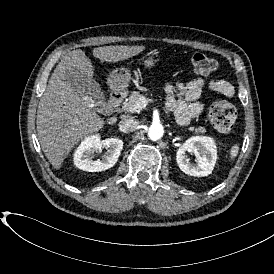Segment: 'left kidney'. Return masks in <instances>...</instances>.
<instances>
[{
	"instance_id": "1",
	"label": "left kidney",
	"mask_w": 274,
	"mask_h": 274,
	"mask_svg": "<svg viewBox=\"0 0 274 274\" xmlns=\"http://www.w3.org/2000/svg\"><path fill=\"white\" fill-rule=\"evenodd\" d=\"M196 156V163L191 164L186 152ZM217 159L215 143L209 137L195 136L184 141L176 151V164L182 172L195 177L211 174Z\"/></svg>"
}]
</instances>
